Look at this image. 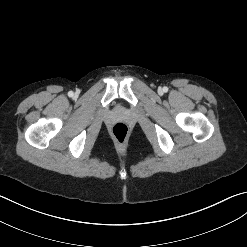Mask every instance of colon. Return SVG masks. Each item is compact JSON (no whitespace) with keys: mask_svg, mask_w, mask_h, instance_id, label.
<instances>
[{"mask_svg":"<svg viewBox=\"0 0 247 247\" xmlns=\"http://www.w3.org/2000/svg\"><path fill=\"white\" fill-rule=\"evenodd\" d=\"M128 133L129 128L125 123L119 122L112 127V134L118 142H124Z\"/></svg>","mask_w":247,"mask_h":247,"instance_id":"1","label":"colon"}]
</instances>
